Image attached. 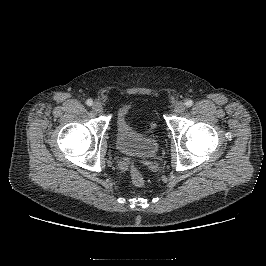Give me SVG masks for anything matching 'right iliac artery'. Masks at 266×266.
<instances>
[{
    "instance_id": "82829eb1",
    "label": "right iliac artery",
    "mask_w": 266,
    "mask_h": 266,
    "mask_svg": "<svg viewBox=\"0 0 266 266\" xmlns=\"http://www.w3.org/2000/svg\"><path fill=\"white\" fill-rule=\"evenodd\" d=\"M86 104H87L88 106H91V105L93 104L92 99H88V100L86 101Z\"/></svg>"
}]
</instances>
